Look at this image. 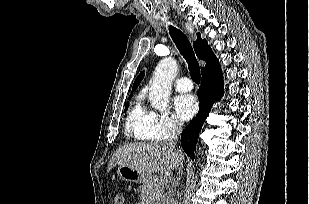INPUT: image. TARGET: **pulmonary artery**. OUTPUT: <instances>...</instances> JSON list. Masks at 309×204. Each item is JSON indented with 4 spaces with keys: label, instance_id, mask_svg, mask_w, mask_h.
Returning a JSON list of instances; mask_svg holds the SVG:
<instances>
[{
    "label": "pulmonary artery",
    "instance_id": "obj_1",
    "mask_svg": "<svg viewBox=\"0 0 309 204\" xmlns=\"http://www.w3.org/2000/svg\"><path fill=\"white\" fill-rule=\"evenodd\" d=\"M174 87L179 92H188L193 88V83L188 77H181L174 82Z\"/></svg>",
    "mask_w": 309,
    "mask_h": 204
}]
</instances>
